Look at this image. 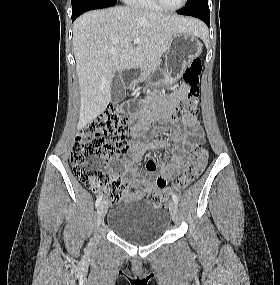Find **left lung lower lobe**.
Segmentation results:
<instances>
[{"instance_id":"0a47b994","label":"left lung lower lobe","mask_w":280,"mask_h":285,"mask_svg":"<svg viewBox=\"0 0 280 285\" xmlns=\"http://www.w3.org/2000/svg\"><path fill=\"white\" fill-rule=\"evenodd\" d=\"M177 13L197 17L204 21L208 26L210 25V12L208 4L187 7L179 10Z\"/></svg>"}]
</instances>
